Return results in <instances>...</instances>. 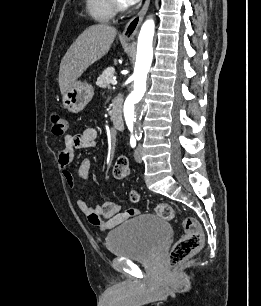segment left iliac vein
Here are the masks:
<instances>
[{
	"label": "left iliac vein",
	"instance_id": "obj_1",
	"mask_svg": "<svg viewBox=\"0 0 261 306\" xmlns=\"http://www.w3.org/2000/svg\"><path fill=\"white\" fill-rule=\"evenodd\" d=\"M134 158L136 162L138 163L142 162V146L140 143L137 145V147L134 150Z\"/></svg>",
	"mask_w": 261,
	"mask_h": 306
}]
</instances>
